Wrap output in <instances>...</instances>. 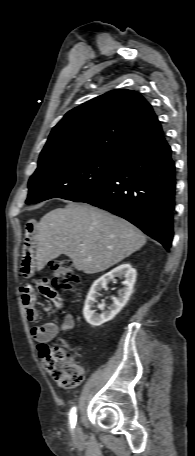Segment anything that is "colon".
Segmentation results:
<instances>
[{
  "label": "colon",
  "mask_w": 195,
  "mask_h": 456,
  "mask_svg": "<svg viewBox=\"0 0 195 456\" xmlns=\"http://www.w3.org/2000/svg\"><path fill=\"white\" fill-rule=\"evenodd\" d=\"M50 268L55 288L72 291L80 283V277L75 273L71 261L52 260ZM38 349L44 368L60 386L72 388L83 381V369L71 358L70 346L66 341L51 346L42 343Z\"/></svg>",
  "instance_id": "obj_1"
}]
</instances>
